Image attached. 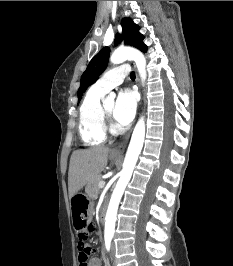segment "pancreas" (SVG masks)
<instances>
[{"mask_svg":"<svg viewBox=\"0 0 233 266\" xmlns=\"http://www.w3.org/2000/svg\"><path fill=\"white\" fill-rule=\"evenodd\" d=\"M101 181V178L98 177L97 179L93 180L91 183H89L86 187V193L89 197L95 199L98 197V194L100 193V188L98 186L99 182Z\"/></svg>","mask_w":233,"mask_h":266,"instance_id":"obj_1","label":"pancreas"}]
</instances>
